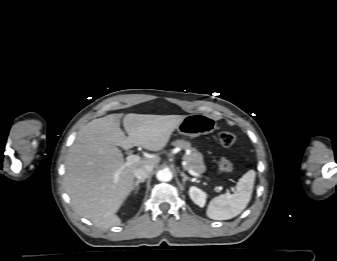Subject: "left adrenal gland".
I'll return each instance as SVG.
<instances>
[{"instance_id": "1", "label": "left adrenal gland", "mask_w": 337, "mask_h": 261, "mask_svg": "<svg viewBox=\"0 0 337 261\" xmlns=\"http://www.w3.org/2000/svg\"><path fill=\"white\" fill-rule=\"evenodd\" d=\"M180 175L183 177V179H182L183 185H185L187 180L191 181V179L184 172H181Z\"/></svg>"}]
</instances>
